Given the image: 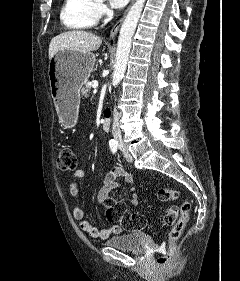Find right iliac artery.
<instances>
[{"mask_svg": "<svg viewBox=\"0 0 240 281\" xmlns=\"http://www.w3.org/2000/svg\"><path fill=\"white\" fill-rule=\"evenodd\" d=\"M110 149L112 151V153H116L117 152V148H118V143L116 142H110L109 143Z\"/></svg>", "mask_w": 240, "mask_h": 281, "instance_id": "obj_1", "label": "right iliac artery"}]
</instances>
